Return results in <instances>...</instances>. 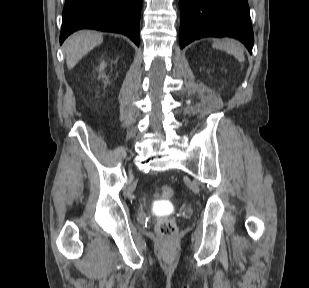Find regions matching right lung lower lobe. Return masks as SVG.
<instances>
[{"label":"right lung lower lobe","instance_id":"98d812e1","mask_svg":"<svg viewBox=\"0 0 309 288\" xmlns=\"http://www.w3.org/2000/svg\"><path fill=\"white\" fill-rule=\"evenodd\" d=\"M142 0H66L60 44L76 30L89 28L127 35L139 46Z\"/></svg>","mask_w":309,"mask_h":288}]
</instances>
